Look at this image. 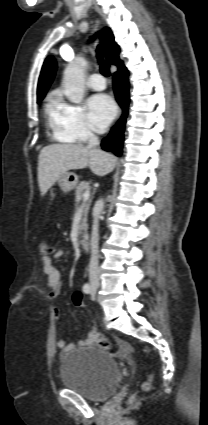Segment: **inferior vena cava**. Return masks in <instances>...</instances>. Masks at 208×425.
I'll list each match as a JSON object with an SVG mask.
<instances>
[{
    "instance_id": "1",
    "label": "inferior vena cava",
    "mask_w": 208,
    "mask_h": 425,
    "mask_svg": "<svg viewBox=\"0 0 208 425\" xmlns=\"http://www.w3.org/2000/svg\"><path fill=\"white\" fill-rule=\"evenodd\" d=\"M100 145V141L98 137L93 134L92 132H89V143L88 147L92 149H96ZM98 213L95 216L93 220V226H92V233H91V258H90V265H89V279L90 282H99V274H98V244H99V214L103 210L104 202L103 200L98 201Z\"/></svg>"
}]
</instances>
